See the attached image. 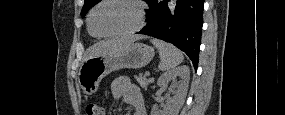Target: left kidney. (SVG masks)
<instances>
[{
    "label": "left kidney",
    "mask_w": 285,
    "mask_h": 115,
    "mask_svg": "<svg viewBox=\"0 0 285 115\" xmlns=\"http://www.w3.org/2000/svg\"><path fill=\"white\" fill-rule=\"evenodd\" d=\"M180 77L181 80L176 84V90L173 91V97L167 102L162 113H159L157 105H154L151 115H177L182 105L188 90L190 80V70L188 66H179L172 70L163 73L158 79V86L166 87L169 79L172 77Z\"/></svg>",
    "instance_id": "left-kidney-1"
}]
</instances>
